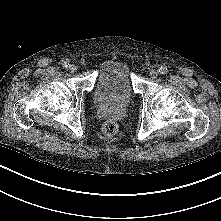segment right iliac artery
Returning a JSON list of instances; mask_svg holds the SVG:
<instances>
[{
  "instance_id": "right-iliac-artery-1",
  "label": "right iliac artery",
  "mask_w": 221,
  "mask_h": 221,
  "mask_svg": "<svg viewBox=\"0 0 221 221\" xmlns=\"http://www.w3.org/2000/svg\"><path fill=\"white\" fill-rule=\"evenodd\" d=\"M63 67L67 68L69 66V61L67 59L62 61Z\"/></svg>"
}]
</instances>
